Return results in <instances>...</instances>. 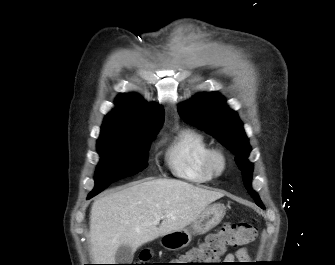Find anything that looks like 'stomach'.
I'll return each mask as SVG.
<instances>
[{
  "label": "stomach",
  "mask_w": 335,
  "mask_h": 265,
  "mask_svg": "<svg viewBox=\"0 0 335 265\" xmlns=\"http://www.w3.org/2000/svg\"><path fill=\"white\" fill-rule=\"evenodd\" d=\"M225 213L226 207L224 204H210L189 227L162 235L160 244L168 250H179L190 243L192 235L205 234L217 226L224 218Z\"/></svg>",
  "instance_id": "stomach-1"
}]
</instances>
